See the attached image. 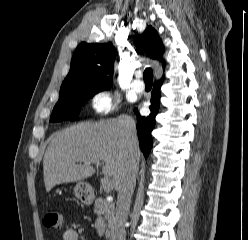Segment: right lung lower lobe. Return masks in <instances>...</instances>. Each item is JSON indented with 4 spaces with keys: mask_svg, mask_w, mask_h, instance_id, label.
I'll return each instance as SVG.
<instances>
[{
    "mask_svg": "<svg viewBox=\"0 0 248 240\" xmlns=\"http://www.w3.org/2000/svg\"><path fill=\"white\" fill-rule=\"evenodd\" d=\"M163 83V77L156 81L153 85V90L151 93V113L147 117H143L139 114L138 109L135 108V113L137 116V133L139 136L140 149L143 152L145 158L148 157L149 152L153 146L151 132L154 129L156 120L155 117L159 112L160 107V88Z\"/></svg>",
    "mask_w": 248,
    "mask_h": 240,
    "instance_id": "98d812e1",
    "label": "right lung lower lobe"
}]
</instances>
